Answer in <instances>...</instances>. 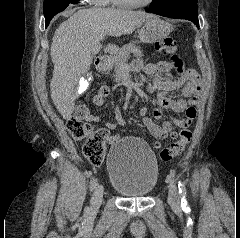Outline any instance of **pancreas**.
<instances>
[{
  "mask_svg": "<svg viewBox=\"0 0 240 238\" xmlns=\"http://www.w3.org/2000/svg\"><path fill=\"white\" fill-rule=\"evenodd\" d=\"M142 57V51L140 47L136 46L135 43H128L121 47L117 54L114 57V71H115V81L119 83L122 79L121 71L123 67L127 66V61L130 57V54Z\"/></svg>",
  "mask_w": 240,
  "mask_h": 238,
  "instance_id": "cf45deb5",
  "label": "pancreas"
}]
</instances>
